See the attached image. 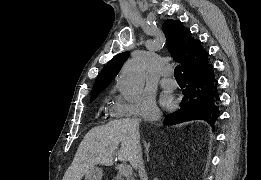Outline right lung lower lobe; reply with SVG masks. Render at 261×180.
I'll list each match as a JSON object with an SVG mask.
<instances>
[{"instance_id":"1","label":"right lung lower lobe","mask_w":261,"mask_h":180,"mask_svg":"<svg viewBox=\"0 0 261 180\" xmlns=\"http://www.w3.org/2000/svg\"><path fill=\"white\" fill-rule=\"evenodd\" d=\"M184 78L187 86L182 92L180 108L168 115L164 124L202 119L213 127L219 117V95L212 65L207 61L192 67L184 72Z\"/></svg>"}]
</instances>
